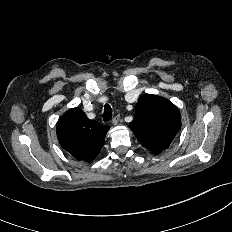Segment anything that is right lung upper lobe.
I'll return each mask as SVG.
<instances>
[{
	"label": "right lung upper lobe",
	"mask_w": 232,
	"mask_h": 232,
	"mask_svg": "<svg viewBox=\"0 0 232 232\" xmlns=\"http://www.w3.org/2000/svg\"><path fill=\"white\" fill-rule=\"evenodd\" d=\"M108 126L89 120L78 108H72L58 120L56 131L60 145L79 161L91 162L101 150Z\"/></svg>",
	"instance_id": "cb5924a9"
}]
</instances>
